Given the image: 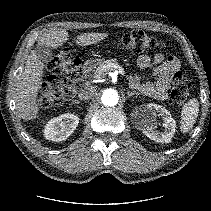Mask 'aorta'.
<instances>
[{"label":"aorta","instance_id":"aorta-1","mask_svg":"<svg viewBox=\"0 0 211 211\" xmlns=\"http://www.w3.org/2000/svg\"><path fill=\"white\" fill-rule=\"evenodd\" d=\"M119 95L114 89H106L103 91L101 96V103L107 107H114L118 104Z\"/></svg>","mask_w":211,"mask_h":211}]
</instances>
